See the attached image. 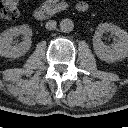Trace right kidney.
<instances>
[{"label":"right kidney","instance_id":"ca27d5eb","mask_svg":"<svg viewBox=\"0 0 128 128\" xmlns=\"http://www.w3.org/2000/svg\"><path fill=\"white\" fill-rule=\"evenodd\" d=\"M23 36V41L15 43L13 39ZM32 30L27 25H20L5 30L0 35V55L7 58H19L26 54L31 47Z\"/></svg>","mask_w":128,"mask_h":128}]
</instances>
